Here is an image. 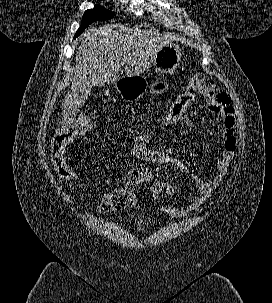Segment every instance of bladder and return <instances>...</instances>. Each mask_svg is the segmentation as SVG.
<instances>
[{"mask_svg":"<svg viewBox=\"0 0 272 303\" xmlns=\"http://www.w3.org/2000/svg\"><path fill=\"white\" fill-rule=\"evenodd\" d=\"M142 221H144V218H143L142 216H140V217L138 218V222H142Z\"/></svg>","mask_w":272,"mask_h":303,"instance_id":"bladder-1","label":"bladder"}]
</instances>
